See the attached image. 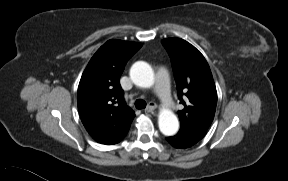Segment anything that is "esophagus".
Listing matches in <instances>:
<instances>
[{
	"label": "esophagus",
	"instance_id": "obj_1",
	"mask_svg": "<svg viewBox=\"0 0 288 181\" xmlns=\"http://www.w3.org/2000/svg\"><path fill=\"white\" fill-rule=\"evenodd\" d=\"M156 108H157L156 103H154V102H149L147 108L145 109V112L151 113V112H153Z\"/></svg>",
	"mask_w": 288,
	"mask_h": 181
}]
</instances>
